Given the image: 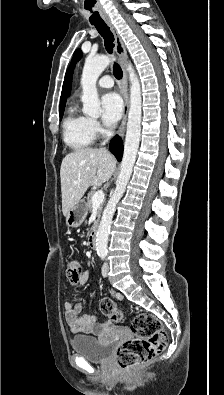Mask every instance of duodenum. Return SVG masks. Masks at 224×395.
Here are the masks:
<instances>
[{
	"label": "duodenum",
	"instance_id": "obj_1",
	"mask_svg": "<svg viewBox=\"0 0 224 395\" xmlns=\"http://www.w3.org/2000/svg\"><path fill=\"white\" fill-rule=\"evenodd\" d=\"M99 231V223L96 221L91 229L89 238H88V244L91 248H96V243H97V234Z\"/></svg>",
	"mask_w": 224,
	"mask_h": 395
}]
</instances>
